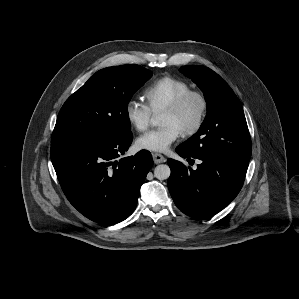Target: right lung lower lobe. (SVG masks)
Instances as JSON below:
<instances>
[{
    "label": "right lung lower lobe",
    "mask_w": 299,
    "mask_h": 299,
    "mask_svg": "<svg viewBox=\"0 0 299 299\" xmlns=\"http://www.w3.org/2000/svg\"><path fill=\"white\" fill-rule=\"evenodd\" d=\"M132 139V133L100 139L52 136L51 160L62 190L90 220L113 225L134 211L153 160L141 150L117 161Z\"/></svg>",
    "instance_id": "right-lung-lower-lobe-1"
}]
</instances>
